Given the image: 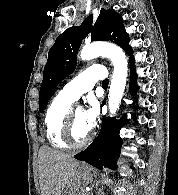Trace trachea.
<instances>
[{"mask_svg": "<svg viewBox=\"0 0 178 195\" xmlns=\"http://www.w3.org/2000/svg\"><path fill=\"white\" fill-rule=\"evenodd\" d=\"M108 84H109V80H108V79H105V80L102 82V86H103V87H108Z\"/></svg>", "mask_w": 178, "mask_h": 195, "instance_id": "1", "label": "trachea"}]
</instances>
